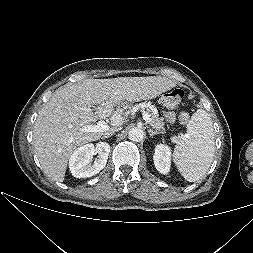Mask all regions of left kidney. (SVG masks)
<instances>
[{"label":"left kidney","mask_w":253,"mask_h":253,"mask_svg":"<svg viewBox=\"0 0 253 253\" xmlns=\"http://www.w3.org/2000/svg\"><path fill=\"white\" fill-rule=\"evenodd\" d=\"M153 160L156 169L162 174H167L171 166L170 148L163 144L156 145Z\"/></svg>","instance_id":"5707ae66"}]
</instances>
